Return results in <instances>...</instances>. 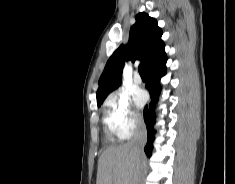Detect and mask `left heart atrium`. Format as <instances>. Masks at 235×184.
I'll return each mask as SVG.
<instances>
[{
  "label": "left heart atrium",
  "mask_w": 235,
  "mask_h": 184,
  "mask_svg": "<svg viewBox=\"0 0 235 184\" xmlns=\"http://www.w3.org/2000/svg\"><path fill=\"white\" fill-rule=\"evenodd\" d=\"M146 101V96L143 91L137 90L133 95V102L136 108H141Z\"/></svg>",
  "instance_id": "1"
}]
</instances>
